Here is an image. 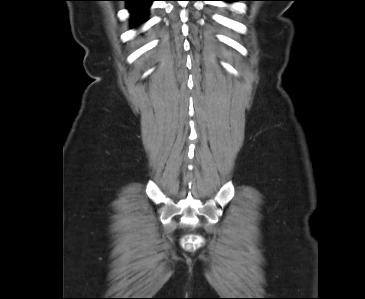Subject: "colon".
I'll return each mask as SVG.
<instances>
[{"label":"colon","mask_w":365,"mask_h":299,"mask_svg":"<svg viewBox=\"0 0 365 299\" xmlns=\"http://www.w3.org/2000/svg\"><path fill=\"white\" fill-rule=\"evenodd\" d=\"M201 243L202 238L200 236H190L184 241V246L188 250H195L200 247Z\"/></svg>","instance_id":"obj_1"}]
</instances>
